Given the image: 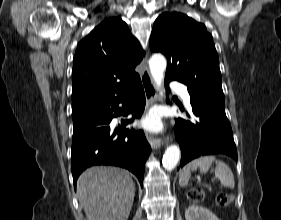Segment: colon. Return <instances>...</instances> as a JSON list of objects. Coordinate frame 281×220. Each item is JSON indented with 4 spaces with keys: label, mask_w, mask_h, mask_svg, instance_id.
Masks as SVG:
<instances>
[{
    "label": "colon",
    "mask_w": 281,
    "mask_h": 220,
    "mask_svg": "<svg viewBox=\"0 0 281 220\" xmlns=\"http://www.w3.org/2000/svg\"><path fill=\"white\" fill-rule=\"evenodd\" d=\"M204 197V194L200 190H192L189 192V198L193 201H200ZM233 200V196L226 194V193H221L218 194L216 197V204L219 206H227L229 205Z\"/></svg>",
    "instance_id": "5ec220e1"
}]
</instances>
